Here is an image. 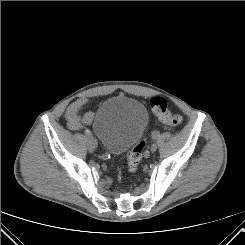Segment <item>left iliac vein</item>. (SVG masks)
<instances>
[{"instance_id": "4c4485c4", "label": "left iliac vein", "mask_w": 245, "mask_h": 245, "mask_svg": "<svg viewBox=\"0 0 245 245\" xmlns=\"http://www.w3.org/2000/svg\"><path fill=\"white\" fill-rule=\"evenodd\" d=\"M156 150H157V145L154 143V144L151 145L150 151H151L152 153H154V152H156Z\"/></svg>"}]
</instances>
